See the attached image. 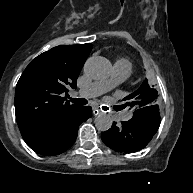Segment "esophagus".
I'll list each match as a JSON object with an SVG mask.
<instances>
[{"label": "esophagus", "instance_id": "1", "mask_svg": "<svg viewBox=\"0 0 193 193\" xmlns=\"http://www.w3.org/2000/svg\"><path fill=\"white\" fill-rule=\"evenodd\" d=\"M100 113V111L97 108H93V114L97 116Z\"/></svg>", "mask_w": 193, "mask_h": 193}]
</instances>
